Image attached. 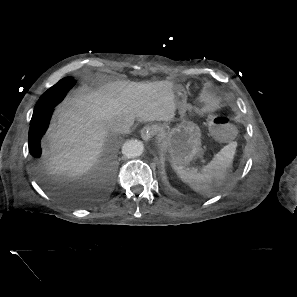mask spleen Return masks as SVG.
<instances>
[{
  "mask_svg": "<svg viewBox=\"0 0 297 297\" xmlns=\"http://www.w3.org/2000/svg\"><path fill=\"white\" fill-rule=\"evenodd\" d=\"M236 147V142L224 146L201 171L176 165H173V168L181 180L195 192L210 195L226 181Z\"/></svg>",
  "mask_w": 297,
  "mask_h": 297,
  "instance_id": "spleen-1",
  "label": "spleen"
}]
</instances>
